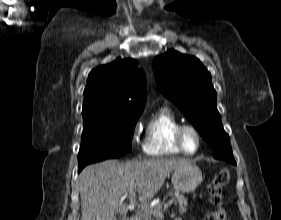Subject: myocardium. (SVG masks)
Listing matches in <instances>:
<instances>
[{"mask_svg":"<svg viewBox=\"0 0 281 220\" xmlns=\"http://www.w3.org/2000/svg\"><path fill=\"white\" fill-rule=\"evenodd\" d=\"M187 132L193 133L197 139V147L194 151H188L185 147L184 135ZM175 142H176L177 146L179 147V149L184 154L194 155L200 150L201 143H202V137H201L199 130L195 126L190 125V124H181L175 131Z\"/></svg>","mask_w":281,"mask_h":220,"instance_id":"obj_1","label":"myocardium"}]
</instances>
